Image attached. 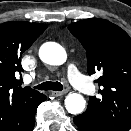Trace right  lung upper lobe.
<instances>
[{
	"mask_svg": "<svg viewBox=\"0 0 131 131\" xmlns=\"http://www.w3.org/2000/svg\"><path fill=\"white\" fill-rule=\"evenodd\" d=\"M46 28L45 24L22 21L0 25V104L9 107L43 95L28 86L21 87L16 76L23 71L22 53Z\"/></svg>",
	"mask_w": 131,
	"mask_h": 131,
	"instance_id": "obj_1",
	"label": "right lung upper lobe"
}]
</instances>
